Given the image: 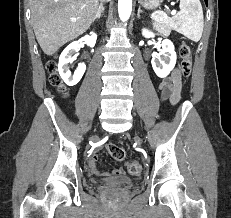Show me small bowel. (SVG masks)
I'll use <instances>...</instances> for the list:
<instances>
[{
	"label": "small bowel",
	"mask_w": 231,
	"mask_h": 218,
	"mask_svg": "<svg viewBox=\"0 0 231 218\" xmlns=\"http://www.w3.org/2000/svg\"><path fill=\"white\" fill-rule=\"evenodd\" d=\"M162 100H168L171 104H176L180 100L181 94V73L179 69L173 70L169 78L163 80L159 84ZM97 154H92L88 160L90 171L96 176L102 177H117L124 173L122 168L114 169L111 171H101L97 167Z\"/></svg>",
	"instance_id": "small-bowel-1"
}]
</instances>
